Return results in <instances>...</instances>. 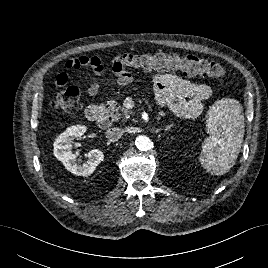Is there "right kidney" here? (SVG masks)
<instances>
[{"mask_svg": "<svg viewBox=\"0 0 268 268\" xmlns=\"http://www.w3.org/2000/svg\"><path fill=\"white\" fill-rule=\"evenodd\" d=\"M86 126L76 125L67 128L60 134L54 142V156L63 163L65 168L78 176H90L96 167L103 161L104 154L93 149L85 154L88 158L83 164L78 163L76 155L72 153V143L74 139H80L86 132Z\"/></svg>", "mask_w": 268, "mask_h": 268, "instance_id": "1", "label": "right kidney"}]
</instances>
